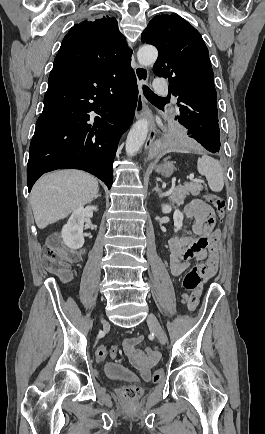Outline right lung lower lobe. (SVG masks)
<instances>
[{
  "label": "right lung lower lobe",
  "mask_w": 265,
  "mask_h": 434,
  "mask_svg": "<svg viewBox=\"0 0 265 434\" xmlns=\"http://www.w3.org/2000/svg\"><path fill=\"white\" fill-rule=\"evenodd\" d=\"M130 62L50 72L29 149V192L43 173L64 168L85 170L111 188L117 145L137 105L138 87Z\"/></svg>",
  "instance_id": "98d812e1"
}]
</instances>
